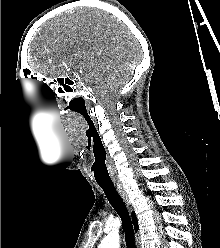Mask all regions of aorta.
I'll use <instances>...</instances> for the list:
<instances>
[{
  "label": "aorta",
  "mask_w": 220,
  "mask_h": 248,
  "mask_svg": "<svg viewBox=\"0 0 220 248\" xmlns=\"http://www.w3.org/2000/svg\"><path fill=\"white\" fill-rule=\"evenodd\" d=\"M119 247H120V237L118 233L108 234L98 246V248H119Z\"/></svg>",
  "instance_id": "1"
}]
</instances>
